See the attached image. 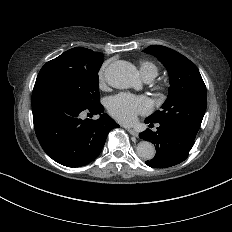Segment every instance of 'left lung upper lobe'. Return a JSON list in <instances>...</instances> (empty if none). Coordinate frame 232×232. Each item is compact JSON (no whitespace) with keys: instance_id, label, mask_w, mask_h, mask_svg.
I'll return each instance as SVG.
<instances>
[{"instance_id":"1","label":"left lung upper lobe","mask_w":232,"mask_h":232,"mask_svg":"<svg viewBox=\"0 0 232 232\" xmlns=\"http://www.w3.org/2000/svg\"><path fill=\"white\" fill-rule=\"evenodd\" d=\"M143 51L161 61L170 79L169 94L161 110L147 119L175 125L196 137L207 106L206 86L198 68L185 56L161 45H151Z\"/></svg>"}]
</instances>
